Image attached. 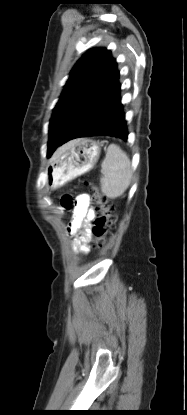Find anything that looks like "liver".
Instances as JSON below:
<instances>
[{"instance_id":"1","label":"liver","mask_w":187,"mask_h":415,"mask_svg":"<svg viewBox=\"0 0 187 415\" xmlns=\"http://www.w3.org/2000/svg\"><path fill=\"white\" fill-rule=\"evenodd\" d=\"M72 145V141L60 147L53 155V158H56L60 154H62L65 150H67Z\"/></svg>"}]
</instances>
